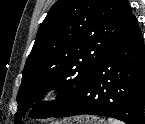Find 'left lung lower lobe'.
Listing matches in <instances>:
<instances>
[{
	"label": "left lung lower lobe",
	"mask_w": 145,
	"mask_h": 124,
	"mask_svg": "<svg viewBox=\"0 0 145 124\" xmlns=\"http://www.w3.org/2000/svg\"><path fill=\"white\" fill-rule=\"evenodd\" d=\"M145 48L135 16L80 93L51 117L81 114L144 124Z\"/></svg>",
	"instance_id": "left-lung-lower-lobe-1"
}]
</instances>
